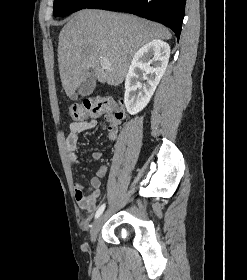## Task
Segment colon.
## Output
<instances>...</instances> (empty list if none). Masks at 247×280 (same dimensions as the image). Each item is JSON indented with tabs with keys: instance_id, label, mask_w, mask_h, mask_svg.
Masks as SVG:
<instances>
[{
	"instance_id": "1",
	"label": "colon",
	"mask_w": 247,
	"mask_h": 280,
	"mask_svg": "<svg viewBox=\"0 0 247 280\" xmlns=\"http://www.w3.org/2000/svg\"><path fill=\"white\" fill-rule=\"evenodd\" d=\"M101 115H113L122 119L124 113L115 101L105 97L85 99L82 103L71 104L68 108V116L74 121H83L87 117Z\"/></svg>"
}]
</instances>
